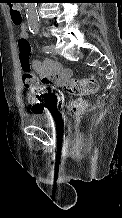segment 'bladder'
<instances>
[{
	"mask_svg": "<svg viewBox=\"0 0 122 218\" xmlns=\"http://www.w3.org/2000/svg\"><path fill=\"white\" fill-rule=\"evenodd\" d=\"M27 121L29 123H34V124H40V125H46L48 122V118L45 116L44 113L37 112V113H32L27 116Z\"/></svg>",
	"mask_w": 122,
	"mask_h": 218,
	"instance_id": "obj_1",
	"label": "bladder"
}]
</instances>
